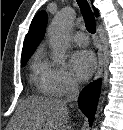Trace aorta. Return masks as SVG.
Wrapping results in <instances>:
<instances>
[{"mask_svg": "<svg viewBox=\"0 0 123 130\" xmlns=\"http://www.w3.org/2000/svg\"><path fill=\"white\" fill-rule=\"evenodd\" d=\"M76 12L71 7L63 8L54 17L48 35L55 61L62 60L69 47V31L73 25Z\"/></svg>", "mask_w": 123, "mask_h": 130, "instance_id": "obj_1", "label": "aorta"}]
</instances>
